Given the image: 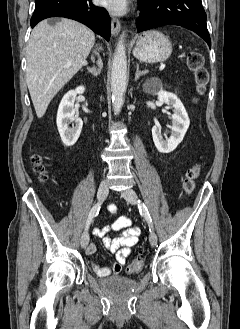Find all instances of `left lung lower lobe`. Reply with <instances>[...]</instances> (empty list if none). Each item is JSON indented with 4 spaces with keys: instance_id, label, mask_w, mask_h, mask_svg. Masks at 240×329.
Here are the masks:
<instances>
[{
    "instance_id": "obj_1",
    "label": "left lung lower lobe",
    "mask_w": 240,
    "mask_h": 329,
    "mask_svg": "<svg viewBox=\"0 0 240 329\" xmlns=\"http://www.w3.org/2000/svg\"><path fill=\"white\" fill-rule=\"evenodd\" d=\"M138 4V32L164 25H178L194 31L211 47L201 0H139Z\"/></svg>"
}]
</instances>
